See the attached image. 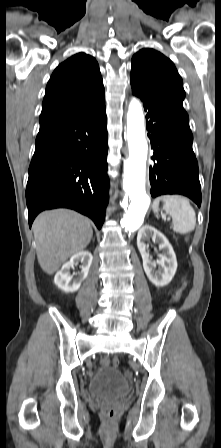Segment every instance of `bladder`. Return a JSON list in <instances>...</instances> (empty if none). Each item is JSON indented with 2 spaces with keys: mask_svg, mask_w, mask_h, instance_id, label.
<instances>
[{
  "mask_svg": "<svg viewBox=\"0 0 221 448\" xmlns=\"http://www.w3.org/2000/svg\"><path fill=\"white\" fill-rule=\"evenodd\" d=\"M88 393L95 398L116 400L129 392L128 380L115 368H101L91 378Z\"/></svg>",
  "mask_w": 221,
  "mask_h": 448,
  "instance_id": "31cf9c89",
  "label": "bladder"
}]
</instances>
